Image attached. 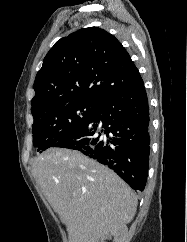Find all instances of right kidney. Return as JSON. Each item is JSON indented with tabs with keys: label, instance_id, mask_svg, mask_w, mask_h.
Returning <instances> with one entry per match:
<instances>
[{
	"label": "right kidney",
	"instance_id": "ca27d5eb",
	"mask_svg": "<svg viewBox=\"0 0 187 242\" xmlns=\"http://www.w3.org/2000/svg\"><path fill=\"white\" fill-rule=\"evenodd\" d=\"M127 235H128V228L126 227V225H122L117 229L110 231L106 235H102L100 237L94 238L90 242H105L107 238H111L112 236L114 237L113 242H128Z\"/></svg>",
	"mask_w": 187,
	"mask_h": 242
}]
</instances>
